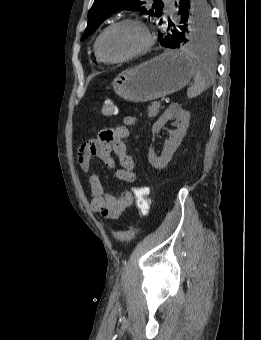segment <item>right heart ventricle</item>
<instances>
[{"mask_svg":"<svg viewBox=\"0 0 261 340\" xmlns=\"http://www.w3.org/2000/svg\"><path fill=\"white\" fill-rule=\"evenodd\" d=\"M96 57H97V55H96ZM97 59H98L99 61H101L98 57H97Z\"/></svg>","mask_w":261,"mask_h":340,"instance_id":"1","label":"right heart ventricle"}]
</instances>
